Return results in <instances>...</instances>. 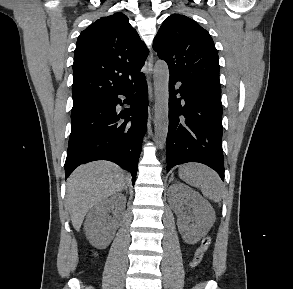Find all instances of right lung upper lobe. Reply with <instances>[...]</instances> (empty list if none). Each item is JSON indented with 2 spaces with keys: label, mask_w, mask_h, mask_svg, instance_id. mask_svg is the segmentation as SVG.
Returning a JSON list of instances; mask_svg holds the SVG:
<instances>
[{
  "label": "right lung upper lobe",
  "mask_w": 293,
  "mask_h": 289,
  "mask_svg": "<svg viewBox=\"0 0 293 289\" xmlns=\"http://www.w3.org/2000/svg\"><path fill=\"white\" fill-rule=\"evenodd\" d=\"M148 50L123 13L102 17L81 32L73 63V105L98 102L126 89L140 72Z\"/></svg>",
  "instance_id": "right-lung-upper-lobe-1"
}]
</instances>
